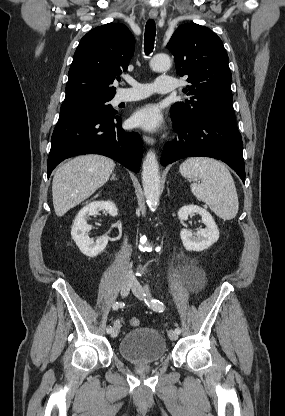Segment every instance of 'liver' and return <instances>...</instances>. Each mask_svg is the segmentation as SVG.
Returning a JSON list of instances; mask_svg holds the SVG:
<instances>
[{
    "label": "liver",
    "mask_w": 285,
    "mask_h": 416,
    "mask_svg": "<svg viewBox=\"0 0 285 416\" xmlns=\"http://www.w3.org/2000/svg\"><path fill=\"white\" fill-rule=\"evenodd\" d=\"M115 164L105 156H78L55 172L52 200L56 216H64L108 182Z\"/></svg>",
    "instance_id": "liver-1"
}]
</instances>
